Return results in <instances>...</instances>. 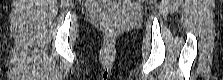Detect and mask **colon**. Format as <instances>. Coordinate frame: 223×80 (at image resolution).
I'll return each instance as SVG.
<instances>
[{
	"label": "colon",
	"instance_id": "1",
	"mask_svg": "<svg viewBox=\"0 0 223 80\" xmlns=\"http://www.w3.org/2000/svg\"><path fill=\"white\" fill-rule=\"evenodd\" d=\"M103 31L107 34V35H114L117 32V29L114 25L112 24H103L102 26Z\"/></svg>",
	"mask_w": 223,
	"mask_h": 80
}]
</instances>
